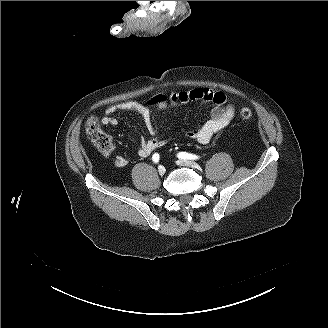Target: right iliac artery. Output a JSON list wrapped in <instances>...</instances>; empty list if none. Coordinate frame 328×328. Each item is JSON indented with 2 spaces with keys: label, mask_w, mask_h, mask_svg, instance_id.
Wrapping results in <instances>:
<instances>
[{
  "label": "right iliac artery",
  "mask_w": 328,
  "mask_h": 328,
  "mask_svg": "<svg viewBox=\"0 0 328 328\" xmlns=\"http://www.w3.org/2000/svg\"><path fill=\"white\" fill-rule=\"evenodd\" d=\"M152 159H153V161H154L155 163H157V162L159 161V154H158V153H155V154L153 155Z\"/></svg>",
  "instance_id": "82829eb1"
}]
</instances>
